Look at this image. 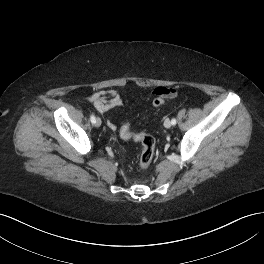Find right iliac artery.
<instances>
[{
	"instance_id": "right-iliac-artery-1",
	"label": "right iliac artery",
	"mask_w": 264,
	"mask_h": 264,
	"mask_svg": "<svg viewBox=\"0 0 264 264\" xmlns=\"http://www.w3.org/2000/svg\"><path fill=\"white\" fill-rule=\"evenodd\" d=\"M90 121H91V123L95 124V122H96V118H95L94 115H91V116H90Z\"/></svg>"
}]
</instances>
